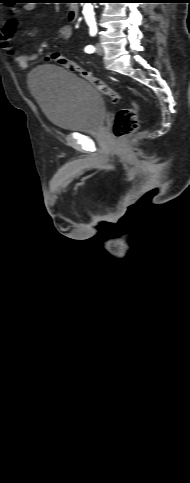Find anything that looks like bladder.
Here are the masks:
<instances>
[{
    "label": "bladder",
    "instance_id": "bladder-1",
    "mask_svg": "<svg viewBox=\"0 0 190 483\" xmlns=\"http://www.w3.org/2000/svg\"><path fill=\"white\" fill-rule=\"evenodd\" d=\"M29 88L45 117L63 131L99 130L106 106L100 92L88 81L61 67L43 65L32 70Z\"/></svg>",
    "mask_w": 190,
    "mask_h": 483
}]
</instances>
